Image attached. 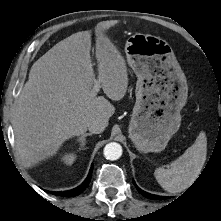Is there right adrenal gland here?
<instances>
[{
  "instance_id": "2a0ac1e0",
  "label": "right adrenal gland",
  "mask_w": 221,
  "mask_h": 221,
  "mask_svg": "<svg viewBox=\"0 0 221 221\" xmlns=\"http://www.w3.org/2000/svg\"><path fill=\"white\" fill-rule=\"evenodd\" d=\"M91 135H92V133H85V134H83L82 136H80V137L78 138V141L80 142V148H79V150H81V149L84 148V146H85V144H86V137H87V136H91Z\"/></svg>"
}]
</instances>
